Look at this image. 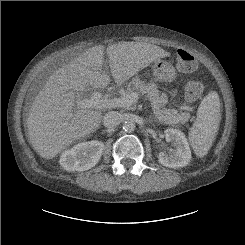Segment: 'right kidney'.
Returning a JSON list of instances; mask_svg holds the SVG:
<instances>
[{"mask_svg": "<svg viewBox=\"0 0 245 245\" xmlns=\"http://www.w3.org/2000/svg\"><path fill=\"white\" fill-rule=\"evenodd\" d=\"M104 144L98 140L81 142L60 156V165L67 171H86L94 167L100 160Z\"/></svg>", "mask_w": 245, "mask_h": 245, "instance_id": "ca27d5eb", "label": "right kidney"}]
</instances>
